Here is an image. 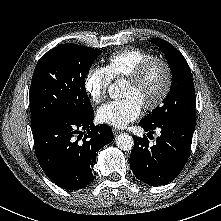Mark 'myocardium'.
Segmentation results:
<instances>
[{"instance_id": "1", "label": "myocardium", "mask_w": 221, "mask_h": 221, "mask_svg": "<svg viewBox=\"0 0 221 221\" xmlns=\"http://www.w3.org/2000/svg\"><path fill=\"white\" fill-rule=\"evenodd\" d=\"M157 64L163 66L165 73H166V81L159 96L152 103L143 105V108L147 111L156 110L163 104V102L168 97L171 91L172 84H173V70H172L171 65L169 64L167 60L155 57L144 62L142 65H140L135 70V72L127 79L128 83L132 85H138L144 80V78L146 77L148 72L151 70V68Z\"/></svg>"}]
</instances>
